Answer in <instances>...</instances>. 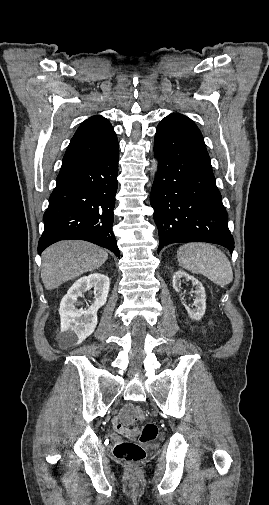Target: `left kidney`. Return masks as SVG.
<instances>
[{"label": "left kidney", "instance_id": "left-kidney-1", "mask_svg": "<svg viewBox=\"0 0 269 505\" xmlns=\"http://www.w3.org/2000/svg\"><path fill=\"white\" fill-rule=\"evenodd\" d=\"M181 278H185L186 280L191 281L193 286L195 287V290L192 291V293L195 294V299H194V303L192 304V306L185 304L182 294L180 295L181 301H182L185 309L187 310L189 317L193 320H200L203 317V315L205 314V310H206L205 289H204L202 283L198 279H196L194 276L189 275L188 273H186L183 270H179V271L175 272V274L173 275V280H172L173 288L176 291H179V289H180Z\"/></svg>", "mask_w": 269, "mask_h": 505}]
</instances>
